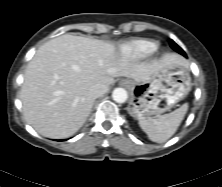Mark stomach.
I'll return each mask as SVG.
<instances>
[{"mask_svg":"<svg viewBox=\"0 0 222 187\" xmlns=\"http://www.w3.org/2000/svg\"><path fill=\"white\" fill-rule=\"evenodd\" d=\"M128 83L131 98L127 110L138 120L169 111L191 90V77L185 64H170L147 81Z\"/></svg>","mask_w":222,"mask_h":187,"instance_id":"0dacf381","label":"stomach"}]
</instances>
